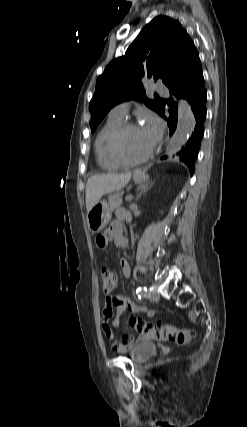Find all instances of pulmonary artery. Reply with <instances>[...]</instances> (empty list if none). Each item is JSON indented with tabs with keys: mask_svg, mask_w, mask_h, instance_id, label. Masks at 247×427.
Returning a JSON list of instances; mask_svg holds the SVG:
<instances>
[{
	"mask_svg": "<svg viewBox=\"0 0 247 427\" xmlns=\"http://www.w3.org/2000/svg\"><path fill=\"white\" fill-rule=\"evenodd\" d=\"M155 89L160 93H163V94L167 93V88L162 85H156ZM128 110H129V103L123 102L112 108V110L110 111V116L116 117L119 119H124L128 113Z\"/></svg>",
	"mask_w": 247,
	"mask_h": 427,
	"instance_id": "pulmonary-artery-1",
	"label": "pulmonary artery"
}]
</instances>
